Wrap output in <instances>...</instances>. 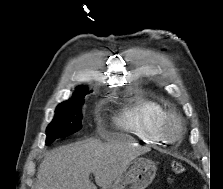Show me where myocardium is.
Wrapping results in <instances>:
<instances>
[{"label": "myocardium", "mask_w": 223, "mask_h": 189, "mask_svg": "<svg viewBox=\"0 0 223 189\" xmlns=\"http://www.w3.org/2000/svg\"><path fill=\"white\" fill-rule=\"evenodd\" d=\"M160 128L164 138L170 143L181 140L185 134L184 121L181 116L175 112L166 113L162 119Z\"/></svg>", "instance_id": "f54148a6"}]
</instances>
